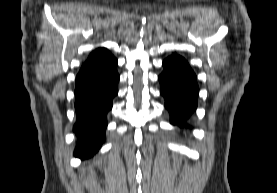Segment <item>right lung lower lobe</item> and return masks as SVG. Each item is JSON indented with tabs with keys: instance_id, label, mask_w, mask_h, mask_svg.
Returning <instances> with one entry per match:
<instances>
[{
	"instance_id": "98d812e1",
	"label": "right lung lower lobe",
	"mask_w": 277,
	"mask_h": 193,
	"mask_svg": "<svg viewBox=\"0 0 277 193\" xmlns=\"http://www.w3.org/2000/svg\"><path fill=\"white\" fill-rule=\"evenodd\" d=\"M117 60L105 50L91 58L76 76L73 131L78 138L74 155L80 159L92 157L105 140L106 115L112 99L118 93Z\"/></svg>"
}]
</instances>
